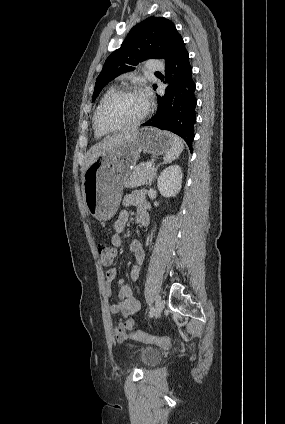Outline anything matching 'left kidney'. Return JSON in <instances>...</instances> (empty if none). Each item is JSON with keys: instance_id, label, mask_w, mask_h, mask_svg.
Returning a JSON list of instances; mask_svg holds the SVG:
<instances>
[{"instance_id": "left-kidney-1", "label": "left kidney", "mask_w": 285, "mask_h": 424, "mask_svg": "<svg viewBox=\"0 0 285 424\" xmlns=\"http://www.w3.org/2000/svg\"><path fill=\"white\" fill-rule=\"evenodd\" d=\"M182 185V171L179 165L165 168L157 180V187L164 197H174Z\"/></svg>"}]
</instances>
